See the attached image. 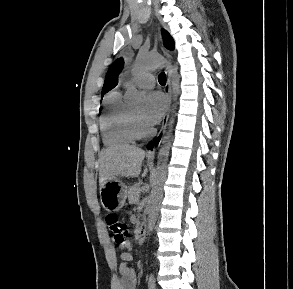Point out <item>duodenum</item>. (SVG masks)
<instances>
[{"label":"duodenum","instance_id":"duodenum-1","mask_svg":"<svg viewBox=\"0 0 293 289\" xmlns=\"http://www.w3.org/2000/svg\"><path fill=\"white\" fill-rule=\"evenodd\" d=\"M147 236V225H146V222L143 221L141 224H140V227L138 229V239L139 240H144Z\"/></svg>","mask_w":293,"mask_h":289}]
</instances>
